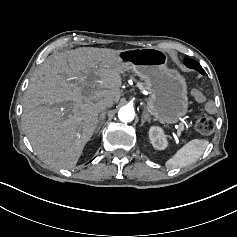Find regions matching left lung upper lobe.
I'll use <instances>...</instances> for the list:
<instances>
[{"instance_id":"left-lung-upper-lobe-1","label":"left lung upper lobe","mask_w":237,"mask_h":237,"mask_svg":"<svg viewBox=\"0 0 237 237\" xmlns=\"http://www.w3.org/2000/svg\"><path fill=\"white\" fill-rule=\"evenodd\" d=\"M184 63L187 67L191 68V69H195L196 71H198L200 74L202 75H206V72L204 71V69L200 66V64L192 59H185Z\"/></svg>"}]
</instances>
